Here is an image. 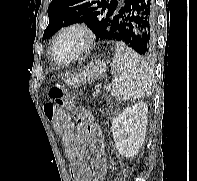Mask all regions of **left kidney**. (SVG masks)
<instances>
[{
  "mask_svg": "<svg viewBox=\"0 0 197 181\" xmlns=\"http://www.w3.org/2000/svg\"><path fill=\"white\" fill-rule=\"evenodd\" d=\"M147 113V104L141 101L113 119L111 130L119 154L125 157L137 155L146 136Z\"/></svg>",
  "mask_w": 197,
  "mask_h": 181,
  "instance_id": "obj_1",
  "label": "left kidney"
}]
</instances>
